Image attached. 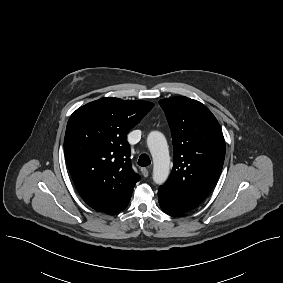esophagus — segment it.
<instances>
[{
  "instance_id": "34e87169",
  "label": "esophagus",
  "mask_w": 283,
  "mask_h": 283,
  "mask_svg": "<svg viewBox=\"0 0 283 283\" xmlns=\"http://www.w3.org/2000/svg\"><path fill=\"white\" fill-rule=\"evenodd\" d=\"M140 171H141V173H142V175H143L144 177H148L149 171H148L147 168L142 167V168H140Z\"/></svg>"
}]
</instances>
